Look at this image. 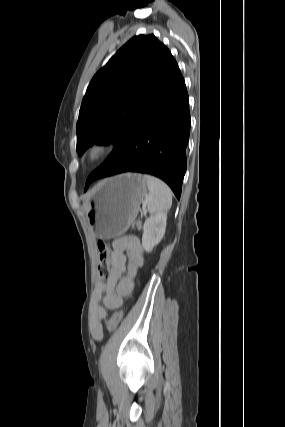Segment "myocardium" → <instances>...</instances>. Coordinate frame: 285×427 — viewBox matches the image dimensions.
<instances>
[{
  "mask_svg": "<svg viewBox=\"0 0 285 427\" xmlns=\"http://www.w3.org/2000/svg\"><path fill=\"white\" fill-rule=\"evenodd\" d=\"M111 152V146L105 142H95L89 145L82 156L84 164L93 166L105 160Z\"/></svg>",
  "mask_w": 285,
  "mask_h": 427,
  "instance_id": "myocardium-1",
  "label": "myocardium"
}]
</instances>
